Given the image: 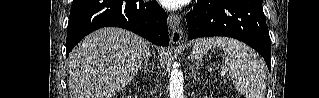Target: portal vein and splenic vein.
I'll return each instance as SVG.
<instances>
[{"label":"portal vein and splenic vein","mask_w":319,"mask_h":98,"mask_svg":"<svg viewBox=\"0 0 319 98\" xmlns=\"http://www.w3.org/2000/svg\"><path fill=\"white\" fill-rule=\"evenodd\" d=\"M222 74H225V70H224V68H223V70H222V72H221Z\"/></svg>","instance_id":"18ae733b"}]
</instances>
